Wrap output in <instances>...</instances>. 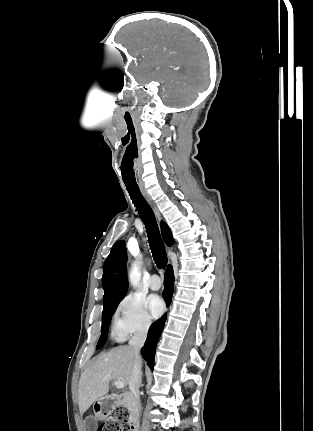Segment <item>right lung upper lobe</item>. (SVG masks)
<instances>
[{
  "label": "right lung upper lobe",
  "instance_id": "right-lung-upper-lobe-1",
  "mask_svg": "<svg viewBox=\"0 0 313 431\" xmlns=\"http://www.w3.org/2000/svg\"><path fill=\"white\" fill-rule=\"evenodd\" d=\"M161 232L168 246L174 243L170 228L161 222ZM127 250L125 241L116 242L104 264L102 284L104 288L103 305L123 298L128 289L127 281Z\"/></svg>",
  "mask_w": 313,
  "mask_h": 431
}]
</instances>
